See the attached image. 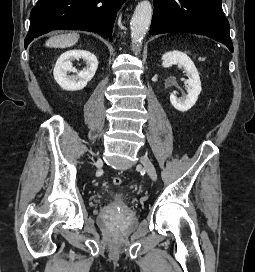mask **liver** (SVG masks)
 Returning a JSON list of instances; mask_svg holds the SVG:
<instances>
[{
    "mask_svg": "<svg viewBox=\"0 0 255 272\" xmlns=\"http://www.w3.org/2000/svg\"><path fill=\"white\" fill-rule=\"evenodd\" d=\"M79 35L77 33H66L57 36L50 37L46 41L47 47H59L65 48L73 46L77 43Z\"/></svg>",
    "mask_w": 255,
    "mask_h": 272,
    "instance_id": "liver-1",
    "label": "liver"
}]
</instances>
